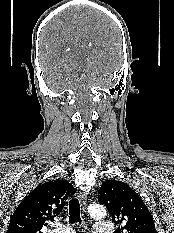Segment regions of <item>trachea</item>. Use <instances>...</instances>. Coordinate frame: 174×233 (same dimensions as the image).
<instances>
[{"mask_svg": "<svg viewBox=\"0 0 174 233\" xmlns=\"http://www.w3.org/2000/svg\"><path fill=\"white\" fill-rule=\"evenodd\" d=\"M81 223L80 217V203L79 200L73 198L69 201V223Z\"/></svg>", "mask_w": 174, "mask_h": 233, "instance_id": "3493384b", "label": "trachea"}]
</instances>
